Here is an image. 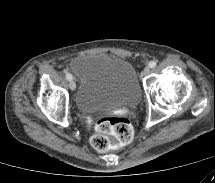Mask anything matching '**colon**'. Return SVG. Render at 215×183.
<instances>
[{
	"label": "colon",
	"mask_w": 215,
	"mask_h": 183,
	"mask_svg": "<svg viewBox=\"0 0 215 183\" xmlns=\"http://www.w3.org/2000/svg\"><path fill=\"white\" fill-rule=\"evenodd\" d=\"M96 134L91 137L92 146L100 152L112 148L109 135L117 138L118 146L124 147L133 139V128L130 121L123 116H103L95 123Z\"/></svg>",
	"instance_id": "colon-1"
}]
</instances>
